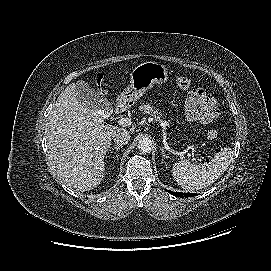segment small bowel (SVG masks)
<instances>
[{
  "label": "small bowel",
  "instance_id": "1",
  "mask_svg": "<svg viewBox=\"0 0 271 271\" xmlns=\"http://www.w3.org/2000/svg\"><path fill=\"white\" fill-rule=\"evenodd\" d=\"M185 107L190 122L207 124L220 114L217 102L203 88H196L188 94Z\"/></svg>",
  "mask_w": 271,
  "mask_h": 271
}]
</instances>
